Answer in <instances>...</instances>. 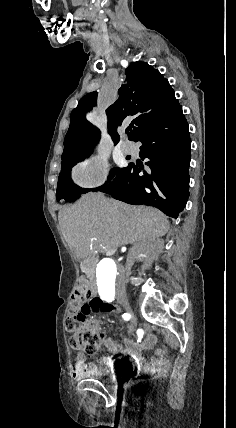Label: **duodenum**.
Listing matches in <instances>:
<instances>
[{
	"mask_svg": "<svg viewBox=\"0 0 236 428\" xmlns=\"http://www.w3.org/2000/svg\"><path fill=\"white\" fill-rule=\"evenodd\" d=\"M90 264H91V262L87 258H83L81 260V266L84 269H88L90 267ZM89 286H90V290L93 294L98 293V287H97L96 279H95L94 275H92V274L89 275Z\"/></svg>",
	"mask_w": 236,
	"mask_h": 428,
	"instance_id": "1",
	"label": "duodenum"
}]
</instances>
